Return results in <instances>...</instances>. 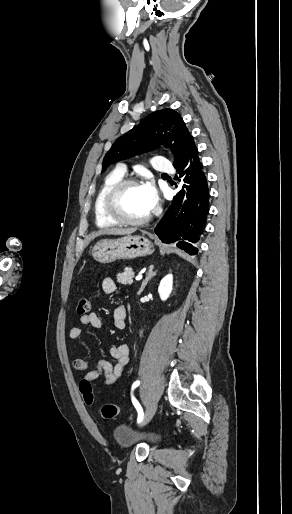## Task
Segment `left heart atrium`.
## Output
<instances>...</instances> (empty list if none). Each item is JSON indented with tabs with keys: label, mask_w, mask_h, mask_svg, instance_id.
<instances>
[{
	"label": "left heart atrium",
	"mask_w": 292,
	"mask_h": 514,
	"mask_svg": "<svg viewBox=\"0 0 292 514\" xmlns=\"http://www.w3.org/2000/svg\"><path fill=\"white\" fill-rule=\"evenodd\" d=\"M140 190L146 201L148 209L151 211L155 208L158 202V195L153 181L151 179H147L140 185Z\"/></svg>",
	"instance_id": "left-heart-atrium-1"
}]
</instances>
